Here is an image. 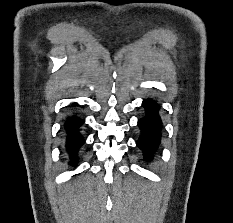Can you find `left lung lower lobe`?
Wrapping results in <instances>:
<instances>
[{
    "label": "left lung lower lobe",
    "mask_w": 233,
    "mask_h": 223,
    "mask_svg": "<svg viewBox=\"0 0 233 223\" xmlns=\"http://www.w3.org/2000/svg\"><path fill=\"white\" fill-rule=\"evenodd\" d=\"M146 109V116L138 121L142 130L137 145L144 151L147 159H152V154L157 149L161 136V119L157 114L158 104L152 99H146L142 103Z\"/></svg>",
    "instance_id": "0a47b994"
}]
</instances>
